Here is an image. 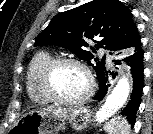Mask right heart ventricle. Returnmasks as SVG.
<instances>
[{
    "instance_id": "obj_1",
    "label": "right heart ventricle",
    "mask_w": 153,
    "mask_h": 134,
    "mask_svg": "<svg viewBox=\"0 0 153 134\" xmlns=\"http://www.w3.org/2000/svg\"><path fill=\"white\" fill-rule=\"evenodd\" d=\"M52 59L49 52L41 51L30 60L26 72V90L31 101L45 105L51 100L45 95L41 87V72L44 66Z\"/></svg>"
}]
</instances>
